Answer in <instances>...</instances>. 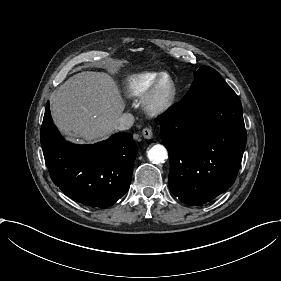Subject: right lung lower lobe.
Returning a JSON list of instances; mask_svg holds the SVG:
<instances>
[{
  "label": "right lung lower lobe",
  "instance_id": "obj_1",
  "mask_svg": "<svg viewBox=\"0 0 281 281\" xmlns=\"http://www.w3.org/2000/svg\"><path fill=\"white\" fill-rule=\"evenodd\" d=\"M40 137L52 181L73 200L107 208L129 189L138 151L130 133L94 145L69 143L54 125L47 102Z\"/></svg>",
  "mask_w": 281,
  "mask_h": 281
}]
</instances>
